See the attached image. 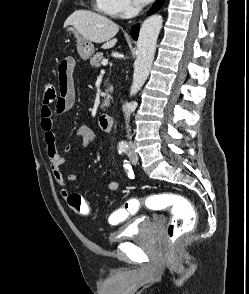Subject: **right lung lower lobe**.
<instances>
[{
  "label": "right lung lower lobe",
  "instance_id": "1",
  "mask_svg": "<svg viewBox=\"0 0 249 294\" xmlns=\"http://www.w3.org/2000/svg\"><path fill=\"white\" fill-rule=\"evenodd\" d=\"M165 0H156L154 5L152 6L151 10L149 11V14H152L156 11H158L162 5L164 4ZM139 33V25H135L131 30V35L133 39H137Z\"/></svg>",
  "mask_w": 249,
  "mask_h": 294
}]
</instances>
